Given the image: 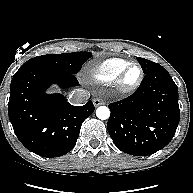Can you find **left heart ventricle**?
I'll list each match as a JSON object with an SVG mask.
<instances>
[{
  "instance_id": "left-heart-ventricle-1",
  "label": "left heart ventricle",
  "mask_w": 193,
  "mask_h": 193,
  "mask_svg": "<svg viewBox=\"0 0 193 193\" xmlns=\"http://www.w3.org/2000/svg\"><path fill=\"white\" fill-rule=\"evenodd\" d=\"M140 75V70L137 67H133L129 70L125 77V83L126 84H132L134 83Z\"/></svg>"
}]
</instances>
